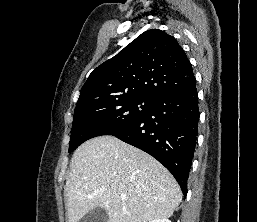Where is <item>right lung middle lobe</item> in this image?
Segmentation results:
<instances>
[{"label": "right lung middle lobe", "mask_w": 257, "mask_h": 222, "mask_svg": "<svg viewBox=\"0 0 257 222\" xmlns=\"http://www.w3.org/2000/svg\"><path fill=\"white\" fill-rule=\"evenodd\" d=\"M147 96L95 97L76 105L69 152L101 135H113L139 121L156 106Z\"/></svg>", "instance_id": "dd1d6c3e"}]
</instances>
